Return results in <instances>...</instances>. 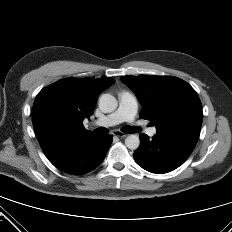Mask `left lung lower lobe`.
Listing matches in <instances>:
<instances>
[{
    "label": "left lung lower lobe",
    "mask_w": 232,
    "mask_h": 232,
    "mask_svg": "<svg viewBox=\"0 0 232 232\" xmlns=\"http://www.w3.org/2000/svg\"><path fill=\"white\" fill-rule=\"evenodd\" d=\"M139 137L140 146L134 153L135 161L149 172L163 174L186 161L195 148L199 134L177 131L157 132L151 140L146 134Z\"/></svg>",
    "instance_id": "0a47b994"
}]
</instances>
